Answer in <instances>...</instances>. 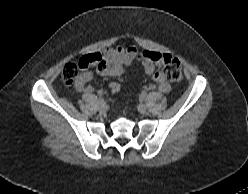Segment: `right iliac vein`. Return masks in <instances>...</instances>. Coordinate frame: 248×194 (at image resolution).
I'll use <instances>...</instances> for the list:
<instances>
[{
    "instance_id": "1",
    "label": "right iliac vein",
    "mask_w": 248,
    "mask_h": 194,
    "mask_svg": "<svg viewBox=\"0 0 248 194\" xmlns=\"http://www.w3.org/2000/svg\"><path fill=\"white\" fill-rule=\"evenodd\" d=\"M99 109L101 111L105 110L106 108V103L104 101H98Z\"/></svg>"
}]
</instances>
